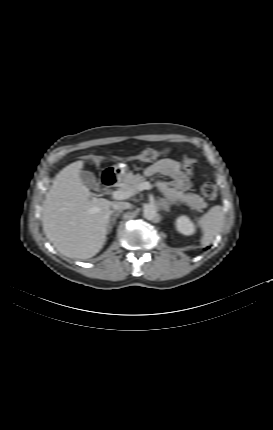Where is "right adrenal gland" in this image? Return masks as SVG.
<instances>
[{
	"label": "right adrenal gland",
	"mask_w": 273,
	"mask_h": 430,
	"mask_svg": "<svg viewBox=\"0 0 273 430\" xmlns=\"http://www.w3.org/2000/svg\"><path fill=\"white\" fill-rule=\"evenodd\" d=\"M122 211H111V216L108 222V231L112 230L113 225L116 223L117 218L121 214Z\"/></svg>",
	"instance_id": "2a0ac1e0"
}]
</instances>
